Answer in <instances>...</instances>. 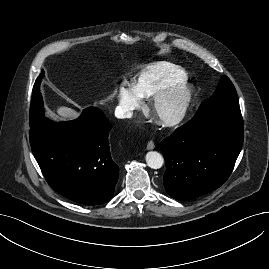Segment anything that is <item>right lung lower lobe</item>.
Instances as JSON below:
<instances>
[{"instance_id":"obj_1","label":"right lung lower lobe","mask_w":269,"mask_h":269,"mask_svg":"<svg viewBox=\"0 0 269 269\" xmlns=\"http://www.w3.org/2000/svg\"><path fill=\"white\" fill-rule=\"evenodd\" d=\"M111 127L101 110L89 107L76 120L54 123L44 118L30 129L34 157L56 192L84 205L112 198L119 167L109 149Z\"/></svg>"}]
</instances>
